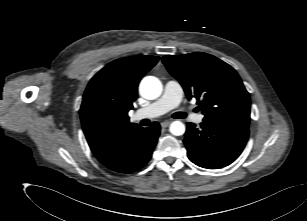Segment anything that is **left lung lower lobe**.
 <instances>
[{"label": "left lung lower lobe", "instance_id": "left-lung-lower-lobe-1", "mask_svg": "<svg viewBox=\"0 0 307 221\" xmlns=\"http://www.w3.org/2000/svg\"><path fill=\"white\" fill-rule=\"evenodd\" d=\"M248 136V128L203 121L199 129L195 124L187 123L183 142L193 163L203 168L218 169L237 159Z\"/></svg>", "mask_w": 307, "mask_h": 221}]
</instances>
